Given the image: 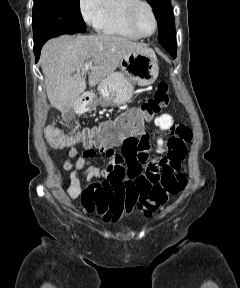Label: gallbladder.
<instances>
[{
  "label": "gallbladder",
  "mask_w": 240,
  "mask_h": 288,
  "mask_svg": "<svg viewBox=\"0 0 240 288\" xmlns=\"http://www.w3.org/2000/svg\"><path fill=\"white\" fill-rule=\"evenodd\" d=\"M71 114H72V112L70 111L69 113H67V116L70 117Z\"/></svg>",
  "instance_id": "obj_1"
}]
</instances>
